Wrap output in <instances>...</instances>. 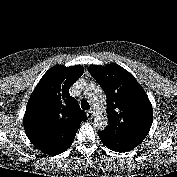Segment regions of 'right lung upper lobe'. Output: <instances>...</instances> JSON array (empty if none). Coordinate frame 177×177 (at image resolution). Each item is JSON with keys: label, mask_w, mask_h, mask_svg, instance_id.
Segmentation results:
<instances>
[{"label": "right lung upper lobe", "mask_w": 177, "mask_h": 177, "mask_svg": "<svg viewBox=\"0 0 177 177\" xmlns=\"http://www.w3.org/2000/svg\"><path fill=\"white\" fill-rule=\"evenodd\" d=\"M82 66H54L41 78L26 107L24 128L33 145L59 152L70 147L80 122L87 120L70 87L82 76Z\"/></svg>", "instance_id": "right-lung-upper-lobe-1"}]
</instances>
